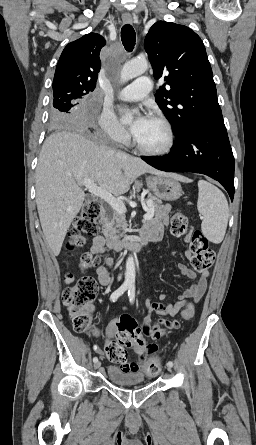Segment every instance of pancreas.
I'll return each mask as SVG.
<instances>
[{"label": "pancreas", "instance_id": "cf45deb5", "mask_svg": "<svg viewBox=\"0 0 256 445\" xmlns=\"http://www.w3.org/2000/svg\"><path fill=\"white\" fill-rule=\"evenodd\" d=\"M149 201L152 203L151 206L154 208L155 214V219H152V221L165 219L168 215V210L162 205V201L156 197H150ZM100 223L102 225V233L111 242L120 241V238L123 236L121 230H125L127 227L125 215L118 213L114 209L111 213L101 218Z\"/></svg>", "mask_w": 256, "mask_h": 445}]
</instances>
